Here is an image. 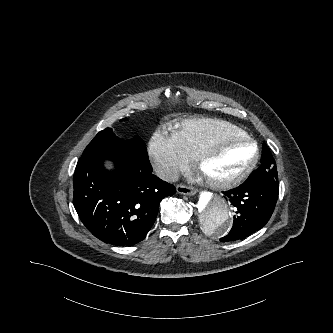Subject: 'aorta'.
I'll list each match as a JSON object with an SVG mask.
<instances>
[{"instance_id": "obj_1", "label": "aorta", "mask_w": 333, "mask_h": 333, "mask_svg": "<svg viewBox=\"0 0 333 333\" xmlns=\"http://www.w3.org/2000/svg\"><path fill=\"white\" fill-rule=\"evenodd\" d=\"M195 212L199 226L208 234L220 235L230 225V205L219 193L201 194L195 202Z\"/></svg>"}]
</instances>
